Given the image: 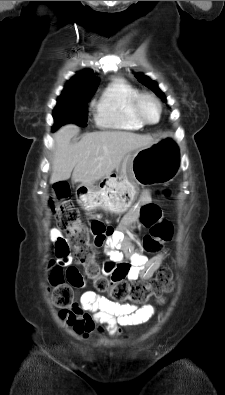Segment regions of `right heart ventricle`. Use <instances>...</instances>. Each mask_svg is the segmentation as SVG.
<instances>
[{
    "mask_svg": "<svg viewBox=\"0 0 225 395\" xmlns=\"http://www.w3.org/2000/svg\"><path fill=\"white\" fill-rule=\"evenodd\" d=\"M139 91L123 79L112 80L95 103V122L101 128L136 131L144 125L134 116L132 102Z\"/></svg>",
    "mask_w": 225,
    "mask_h": 395,
    "instance_id": "right-heart-ventricle-1",
    "label": "right heart ventricle"
}]
</instances>
